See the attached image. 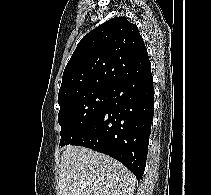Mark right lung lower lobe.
<instances>
[{
	"label": "right lung lower lobe",
	"mask_w": 211,
	"mask_h": 195,
	"mask_svg": "<svg viewBox=\"0 0 211 195\" xmlns=\"http://www.w3.org/2000/svg\"><path fill=\"white\" fill-rule=\"evenodd\" d=\"M154 113L151 69L115 84L99 117L71 145L107 154L139 180L145 170Z\"/></svg>",
	"instance_id": "obj_1"
}]
</instances>
